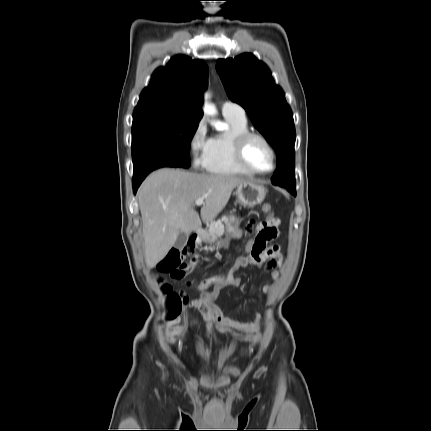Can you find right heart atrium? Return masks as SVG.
Listing matches in <instances>:
<instances>
[{
    "instance_id": "d8ad5b80",
    "label": "right heart atrium",
    "mask_w": 431,
    "mask_h": 431,
    "mask_svg": "<svg viewBox=\"0 0 431 431\" xmlns=\"http://www.w3.org/2000/svg\"><path fill=\"white\" fill-rule=\"evenodd\" d=\"M212 146V138L204 120H199L188 139V148L192 165L196 169L207 167Z\"/></svg>"
}]
</instances>
